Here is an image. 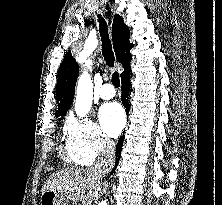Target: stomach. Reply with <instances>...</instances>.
I'll use <instances>...</instances> for the list:
<instances>
[{
    "instance_id": "0dacf381",
    "label": "stomach",
    "mask_w": 222,
    "mask_h": 205,
    "mask_svg": "<svg viewBox=\"0 0 222 205\" xmlns=\"http://www.w3.org/2000/svg\"><path fill=\"white\" fill-rule=\"evenodd\" d=\"M40 205H67V202L56 192L48 190L42 193Z\"/></svg>"
}]
</instances>
